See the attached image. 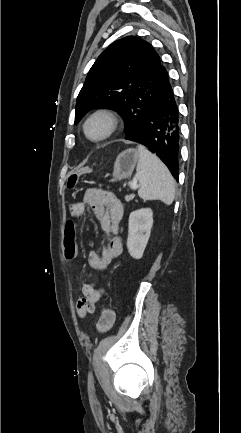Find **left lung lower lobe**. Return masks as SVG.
Instances as JSON below:
<instances>
[{"instance_id":"left-lung-lower-lobe-1","label":"left lung lower lobe","mask_w":241,"mask_h":433,"mask_svg":"<svg viewBox=\"0 0 241 433\" xmlns=\"http://www.w3.org/2000/svg\"><path fill=\"white\" fill-rule=\"evenodd\" d=\"M125 139L146 146L165 163L174 178L178 180L179 111L168 79L157 102Z\"/></svg>"}]
</instances>
